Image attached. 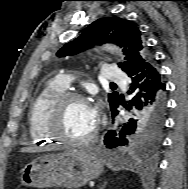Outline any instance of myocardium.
Instances as JSON below:
<instances>
[{
  "instance_id": "obj_1",
  "label": "myocardium",
  "mask_w": 188,
  "mask_h": 189,
  "mask_svg": "<svg viewBox=\"0 0 188 189\" xmlns=\"http://www.w3.org/2000/svg\"><path fill=\"white\" fill-rule=\"evenodd\" d=\"M74 101L88 103V100L84 95L74 91H65L52 103L47 113L46 130L54 139L66 144L82 145L90 143L98 134L99 126L97 123L89 134L81 138L69 137L61 131V122L65 109L69 103Z\"/></svg>"
}]
</instances>
